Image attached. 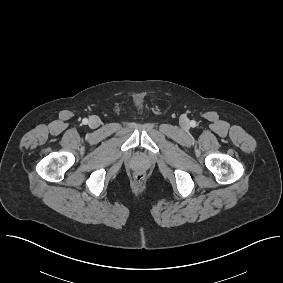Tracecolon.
<instances>
[{
	"label": "colon",
	"mask_w": 283,
	"mask_h": 283,
	"mask_svg": "<svg viewBox=\"0 0 283 283\" xmlns=\"http://www.w3.org/2000/svg\"><path fill=\"white\" fill-rule=\"evenodd\" d=\"M144 178H145V175L142 172H137L134 176L135 181L139 183L142 182Z\"/></svg>",
	"instance_id": "5ec220e1"
}]
</instances>
